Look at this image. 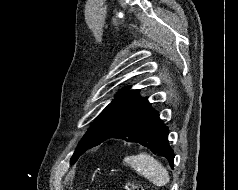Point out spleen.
<instances>
[{
  "mask_svg": "<svg viewBox=\"0 0 238 190\" xmlns=\"http://www.w3.org/2000/svg\"><path fill=\"white\" fill-rule=\"evenodd\" d=\"M124 162L158 187L165 186L170 180L162 164L146 153L125 157Z\"/></svg>",
  "mask_w": 238,
  "mask_h": 190,
  "instance_id": "3e777b00",
  "label": "spleen"
}]
</instances>
